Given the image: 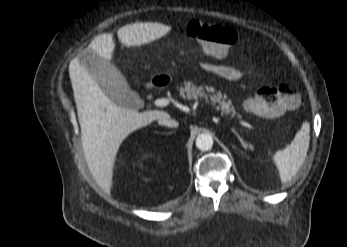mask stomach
<instances>
[{
  "mask_svg": "<svg viewBox=\"0 0 347 247\" xmlns=\"http://www.w3.org/2000/svg\"><path fill=\"white\" fill-rule=\"evenodd\" d=\"M156 77H169V76L160 74V75H157Z\"/></svg>",
  "mask_w": 347,
  "mask_h": 247,
  "instance_id": "stomach-1",
  "label": "stomach"
}]
</instances>
